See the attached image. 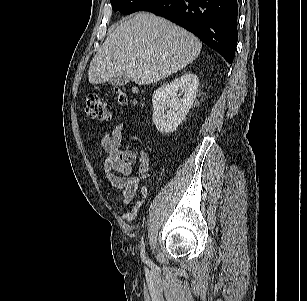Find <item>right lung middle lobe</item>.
I'll return each instance as SVG.
<instances>
[{
  "mask_svg": "<svg viewBox=\"0 0 307 301\" xmlns=\"http://www.w3.org/2000/svg\"><path fill=\"white\" fill-rule=\"evenodd\" d=\"M156 0H110L113 10L122 14H131L141 11Z\"/></svg>",
  "mask_w": 307,
  "mask_h": 301,
  "instance_id": "dd1d6c3e",
  "label": "right lung middle lobe"
}]
</instances>
